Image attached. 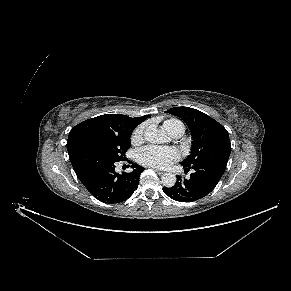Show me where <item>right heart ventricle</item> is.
I'll list each match as a JSON object with an SVG mask.
<instances>
[{
    "instance_id": "right-heart-ventricle-1",
    "label": "right heart ventricle",
    "mask_w": 291,
    "mask_h": 291,
    "mask_svg": "<svg viewBox=\"0 0 291 291\" xmlns=\"http://www.w3.org/2000/svg\"><path fill=\"white\" fill-rule=\"evenodd\" d=\"M163 127L169 132L172 133L174 130L181 128L185 131L184 124L178 119H167L163 123Z\"/></svg>"
}]
</instances>
